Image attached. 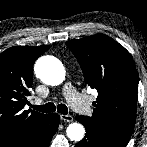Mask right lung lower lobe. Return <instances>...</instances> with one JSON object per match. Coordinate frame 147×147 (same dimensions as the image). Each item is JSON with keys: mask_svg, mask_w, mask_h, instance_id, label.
Returning a JSON list of instances; mask_svg holds the SVG:
<instances>
[{"mask_svg": "<svg viewBox=\"0 0 147 147\" xmlns=\"http://www.w3.org/2000/svg\"><path fill=\"white\" fill-rule=\"evenodd\" d=\"M59 122L58 114H49L43 124L5 147H48Z\"/></svg>", "mask_w": 147, "mask_h": 147, "instance_id": "1", "label": "right lung lower lobe"}]
</instances>
